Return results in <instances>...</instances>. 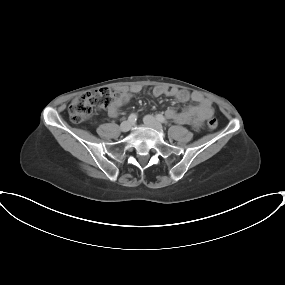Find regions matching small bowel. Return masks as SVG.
<instances>
[{
	"label": "small bowel",
	"instance_id": "obj_1",
	"mask_svg": "<svg viewBox=\"0 0 285 285\" xmlns=\"http://www.w3.org/2000/svg\"><path fill=\"white\" fill-rule=\"evenodd\" d=\"M141 90L142 86L139 84H134L130 87H120L118 89L120 96L108 107V114L112 117H116L119 108L129 102L134 96L138 95ZM153 95L173 97L175 100L182 103L187 102L188 100L195 102L194 105L187 106L181 111H176L171 108H168L165 111L164 114L166 118L173 120L178 124H191L193 127L198 128L214 115L210 99L200 92L190 93L184 89L156 86L153 89Z\"/></svg>",
	"mask_w": 285,
	"mask_h": 285
}]
</instances>
